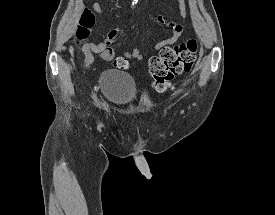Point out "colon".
<instances>
[{
  "instance_id": "5ec220e1",
  "label": "colon",
  "mask_w": 275,
  "mask_h": 215,
  "mask_svg": "<svg viewBox=\"0 0 275 215\" xmlns=\"http://www.w3.org/2000/svg\"><path fill=\"white\" fill-rule=\"evenodd\" d=\"M94 23L93 13L88 9L84 10L76 31L77 38L80 40L87 38ZM196 55L197 42L194 39H188L174 46L162 48L160 53L152 57L148 64L155 90L164 92L168 89L174 77L190 72L195 63ZM114 65L121 70H125L128 68L129 62L124 57H118Z\"/></svg>"
}]
</instances>
